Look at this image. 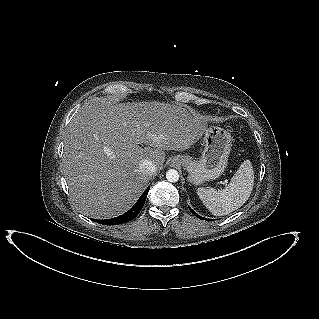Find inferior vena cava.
Instances as JSON below:
<instances>
[{"instance_id":"obj_1","label":"inferior vena cava","mask_w":319,"mask_h":319,"mask_svg":"<svg viewBox=\"0 0 319 319\" xmlns=\"http://www.w3.org/2000/svg\"><path fill=\"white\" fill-rule=\"evenodd\" d=\"M139 169L145 175H154L157 171L156 165L149 159L142 160Z\"/></svg>"}]
</instances>
